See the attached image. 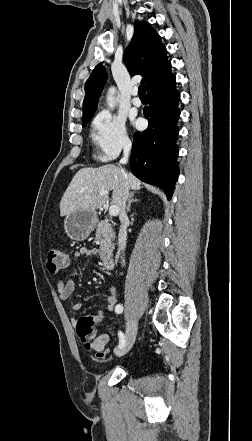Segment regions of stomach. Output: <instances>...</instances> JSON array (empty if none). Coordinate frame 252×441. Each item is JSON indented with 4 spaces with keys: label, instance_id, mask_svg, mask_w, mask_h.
<instances>
[{
    "label": "stomach",
    "instance_id": "obj_1",
    "mask_svg": "<svg viewBox=\"0 0 252 441\" xmlns=\"http://www.w3.org/2000/svg\"><path fill=\"white\" fill-rule=\"evenodd\" d=\"M97 223L95 211L77 210L66 215L64 227L67 235L75 241L85 240Z\"/></svg>",
    "mask_w": 252,
    "mask_h": 441
}]
</instances>
